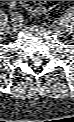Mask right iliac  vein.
<instances>
[{
  "label": "right iliac vein",
  "instance_id": "obj_1",
  "mask_svg": "<svg viewBox=\"0 0 74 122\" xmlns=\"http://www.w3.org/2000/svg\"><path fill=\"white\" fill-rule=\"evenodd\" d=\"M14 24H15V25L12 27V30H13L14 32H17V31L19 30V26L16 25V22H15Z\"/></svg>",
  "mask_w": 74,
  "mask_h": 122
}]
</instances>
